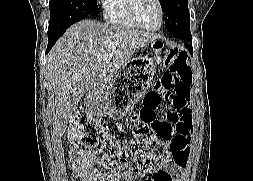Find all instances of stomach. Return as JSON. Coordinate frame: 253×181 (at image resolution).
<instances>
[{
    "mask_svg": "<svg viewBox=\"0 0 253 181\" xmlns=\"http://www.w3.org/2000/svg\"><path fill=\"white\" fill-rule=\"evenodd\" d=\"M154 73L153 57L129 60L109 85L88 92L86 109L94 116L108 115L115 120L125 117L150 86Z\"/></svg>",
    "mask_w": 253,
    "mask_h": 181,
    "instance_id": "1",
    "label": "stomach"
}]
</instances>
